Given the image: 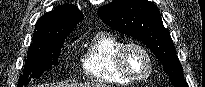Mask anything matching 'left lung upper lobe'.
I'll use <instances>...</instances> for the list:
<instances>
[{"label":"left lung upper lobe","instance_id":"obj_1","mask_svg":"<svg viewBox=\"0 0 205 87\" xmlns=\"http://www.w3.org/2000/svg\"><path fill=\"white\" fill-rule=\"evenodd\" d=\"M102 21L117 31L147 44L162 63L175 87H188L171 36L160 12L148 0H113L98 9Z\"/></svg>","mask_w":205,"mask_h":87}]
</instances>
